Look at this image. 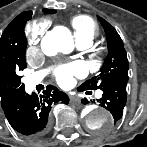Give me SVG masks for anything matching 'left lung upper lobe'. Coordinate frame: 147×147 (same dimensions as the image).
Returning <instances> with one entry per match:
<instances>
[{"instance_id": "5c2ea615", "label": "left lung upper lobe", "mask_w": 147, "mask_h": 147, "mask_svg": "<svg viewBox=\"0 0 147 147\" xmlns=\"http://www.w3.org/2000/svg\"><path fill=\"white\" fill-rule=\"evenodd\" d=\"M107 38L108 55L100 74L85 81L78 89L96 90L115 82H128V59L123 41L115 28L103 18L98 17Z\"/></svg>"}]
</instances>
